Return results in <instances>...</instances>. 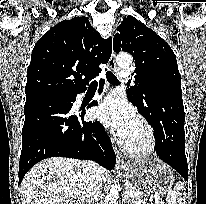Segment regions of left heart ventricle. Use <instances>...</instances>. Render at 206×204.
<instances>
[{"instance_id":"left-heart-ventricle-1","label":"left heart ventricle","mask_w":206,"mask_h":204,"mask_svg":"<svg viewBox=\"0 0 206 204\" xmlns=\"http://www.w3.org/2000/svg\"><path fill=\"white\" fill-rule=\"evenodd\" d=\"M126 141H128L132 146L135 147H138L144 143L145 141L144 131L138 122L136 123L133 132L131 133V135Z\"/></svg>"}]
</instances>
